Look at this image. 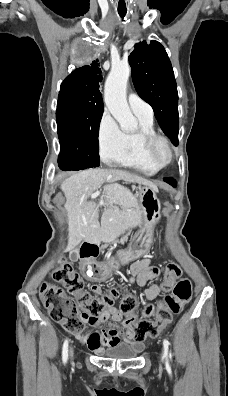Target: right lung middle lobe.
<instances>
[{"mask_svg":"<svg viewBox=\"0 0 228 396\" xmlns=\"http://www.w3.org/2000/svg\"><path fill=\"white\" fill-rule=\"evenodd\" d=\"M103 107H89L70 94L59 93L56 120L62 170L97 167L99 160V124Z\"/></svg>","mask_w":228,"mask_h":396,"instance_id":"right-lung-middle-lobe-1","label":"right lung middle lobe"}]
</instances>
